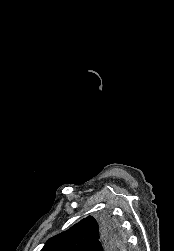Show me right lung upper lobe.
<instances>
[{"instance_id":"obj_1","label":"right lung upper lobe","mask_w":174,"mask_h":251,"mask_svg":"<svg viewBox=\"0 0 174 251\" xmlns=\"http://www.w3.org/2000/svg\"><path fill=\"white\" fill-rule=\"evenodd\" d=\"M100 229L101 221L88 216L67 231L50 238L41 251H93L101 238ZM120 248V242L112 246L114 250Z\"/></svg>"}]
</instances>
